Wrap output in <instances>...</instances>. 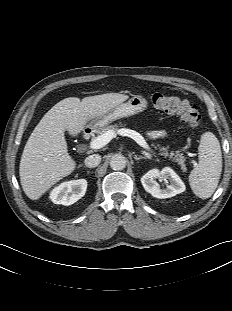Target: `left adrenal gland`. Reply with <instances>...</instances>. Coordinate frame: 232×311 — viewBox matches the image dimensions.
I'll list each match as a JSON object with an SVG mask.
<instances>
[{
	"label": "left adrenal gland",
	"mask_w": 232,
	"mask_h": 311,
	"mask_svg": "<svg viewBox=\"0 0 232 311\" xmlns=\"http://www.w3.org/2000/svg\"><path fill=\"white\" fill-rule=\"evenodd\" d=\"M147 157H144V156H137V155H134V159L135 160H140V159H146Z\"/></svg>",
	"instance_id": "obj_1"
}]
</instances>
